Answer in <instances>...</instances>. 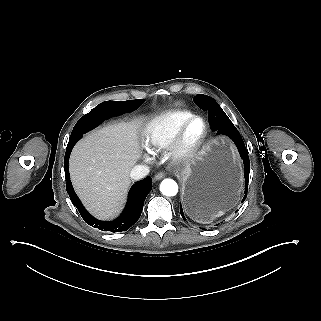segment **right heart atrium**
<instances>
[{"instance_id":"right-heart-atrium-1","label":"right heart atrium","mask_w":321,"mask_h":321,"mask_svg":"<svg viewBox=\"0 0 321 321\" xmlns=\"http://www.w3.org/2000/svg\"><path fill=\"white\" fill-rule=\"evenodd\" d=\"M142 158H143L144 161H146L148 163L152 162V157L146 150H143Z\"/></svg>"}]
</instances>
